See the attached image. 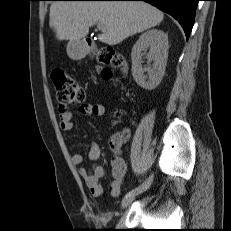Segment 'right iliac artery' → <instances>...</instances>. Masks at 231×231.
Here are the masks:
<instances>
[{
	"instance_id": "obj_1",
	"label": "right iliac artery",
	"mask_w": 231,
	"mask_h": 231,
	"mask_svg": "<svg viewBox=\"0 0 231 231\" xmlns=\"http://www.w3.org/2000/svg\"><path fill=\"white\" fill-rule=\"evenodd\" d=\"M138 188H139V186H138L137 188L132 189L131 191H129V192L126 194V196L135 193V192L138 190Z\"/></svg>"
}]
</instances>
